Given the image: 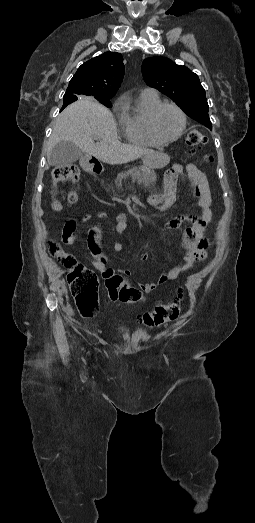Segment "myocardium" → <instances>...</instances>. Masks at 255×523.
I'll return each instance as SVG.
<instances>
[{"label":"myocardium","instance_id":"f54148a6","mask_svg":"<svg viewBox=\"0 0 255 523\" xmlns=\"http://www.w3.org/2000/svg\"><path fill=\"white\" fill-rule=\"evenodd\" d=\"M164 107H173L180 114V117L182 120V125H181V128H180L179 132L177 133V135L172 138H169V139H164V138L160 137L157 134L156 129H155V118H156L157 114L159 113V111ZM147 124H148L149 133L155 140H157L159 143H162V144H168V143H172V142L178 140L183 135V133L186 129V125H187V118H186L185 112L177 104L171 103V102H161L151 110L149 117H148Z\"/></svg>","mask_w":255,"mask_h":523}]
</instances>
